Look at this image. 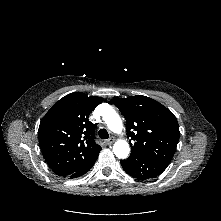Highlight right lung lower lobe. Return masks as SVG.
<instances>
[{
  "mask_svg": "<svg viewBox=\"0 0 221 221\" xmlns=\"http://www.w3.org/2000/svg\"><path fill=\"white\" fill-rule=\"evenodd\" d=\"M97 158L93 159L92 161L87 163L84 167H82L81 169L77 170L76 172H74L73 174L68 176V178H76V177H80L83 174H85L94 165V163L97 160Z\"/></svg>",
  "mask_w": 221,
  "mask_h": 221,
  "instance_id": "98d812e1",
  "label": "right lung lower lobe"
}]
</instances>
